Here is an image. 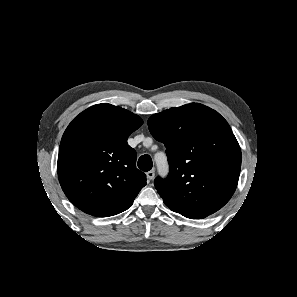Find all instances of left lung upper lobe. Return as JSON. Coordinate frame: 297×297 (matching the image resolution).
Here are the masks:
<instances>
[{"label": "left lung upper lobe", "mask_w": 297, "mask_h": 297, "mask_svg": "<svg viewBox=\"0 0 297 297\" xmlns=\"http://www.w3.org/2000/svg\"><path fill=\"white\" fill-rule=\"evenodd\" d=\"M148 127L164 143L170 173L155 187L165 205L191 219L222 208L238 184L241 150L227 121L198 103L152 115Z\"/></svg>", "instance_id": "left-lung-upper-lobe-1"}]
</instances>
